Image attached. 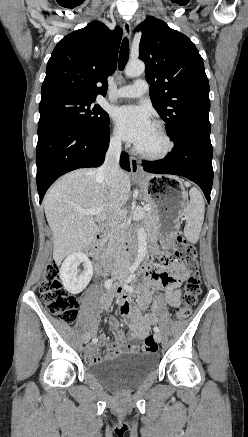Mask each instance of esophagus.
I'll list each match as a JSON object with an SVG mask.
<instances>
[{"label": "esophagus", "mask_w": 248, "mask_h": 437, "mask_svg": "<svg viewBox=\"0 0 248 437\" xmlns=\"http://www.w3.org/2000/svg\"><path fill=\"white\" fill-rule=\"evenodd\" d=\"M123 31H124V35L130 39L131 37V32H132V27H131V23L129 21H125L123 24ZM130 168H131V173L135 176H141V171H140V167L138 164V160L134 157V156H130Z\"/></svg>", "instance_id": "esophagus-1"}]
</instances>
